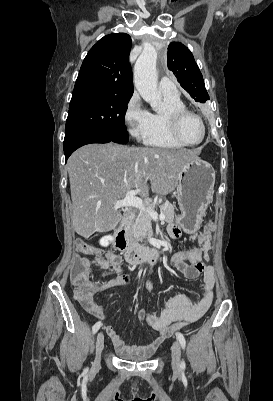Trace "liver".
<instances>
[{"label":"liver","mask_w":273,"mask_h":401,"mask_svg":"<svg viewBox=\"0 0 273 401\" xmlns=\"http://www.w3.org/2000/svg\"><path fill=\"white\" fill-rule=\"evenodd\" d=\"M200 150L189 148H148L124 144H85L68 158L72 198V227L89 239L117 227L122 215L114 209L128 190L141 188L168 194L178 184V174L186 162L201 160Z\"/></svg>","instance_id":"obj_1"}]
</instances>
